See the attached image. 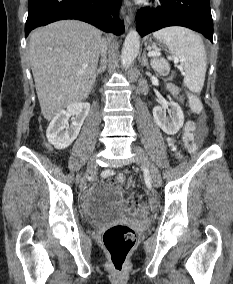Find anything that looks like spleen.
<instances>
[{
  "label": "spleen",
  "mask_w": 233,
  "mask_h": 284,
  "mask_svg": "<svg viewBox=\"0 0 233 284\" xmlns=\"http://www.w3.org/2000/svg\"><path fill=\"white\" fill-rule=\"evenodd\" d=\"M154 37L166 45L184 68V84L200 93L205 81L207 58L204 43L199 35L184 27H167L156 31Z\"/></svg>",
  "instance_id": "3e777b00"
}]
</instances>
